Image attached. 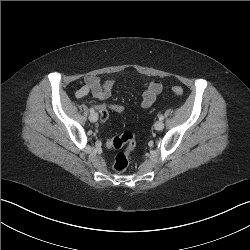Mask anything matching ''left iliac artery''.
<instances>
[{
    "label": "left iliac artery",
    "instance_id": "left-iliac-artery-1",
    "mask_svg": "<svg viewBox=\"0 0 250 250\" xmlns=\"http://www.w3.org/2000/svg\"><path fill=\"white\" fill-rule=\"evenodd\" d=\"M164 117L162 115L159 116V120H163Z\"/></svg>",
    "mask_w": 250,
    "mask_h": 250
}]
</instances>
